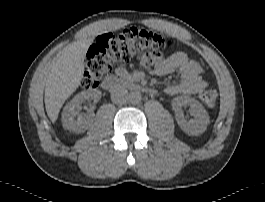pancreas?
Returning a JSON list of instances; mask_svg holds the SVG:
<instances>
[{
	"label": "pancreas",
	"mask_w": 265,
	"mask_h": 202,
	"mask_svg": "<svg viewBox=\"0 0 265 202\" xmlns=\"http://www.w3.org/2000/svg\"><path fill=\"white\" fill-rule=\"evenodd\" d=\"M125 79L128 81V82H133V78L130 74H126L125 75Z\"/></svg>",
	"instance_id": "obj_1"
}]
</instances>
